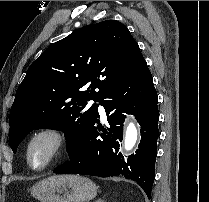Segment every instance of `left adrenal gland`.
Instances as JSON below:
<instances>
[{
	"label": "left adrenal gland",
	"instance_id": "obj_1",
	"mask_svg": "<svg viewBox=\"0 0 209 202\" xmlns=\"http://www.w3.org/2000/svg\"><path fill=\"white\" fill-rule=\"evenodd\" d=\"M96 202H104V200L98 199V200H96Z\"/></svg>",
	"mask_w": 209,
	"mask_h": 202
}]
</instances>
